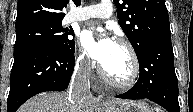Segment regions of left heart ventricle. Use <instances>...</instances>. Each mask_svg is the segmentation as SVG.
Wrapping results in <instances>:
<instances>
[{
    "instance_id": "left-heart-ventricle-1",
    "label": "left heart ventricle",
    "mask_w": 193,
    "mask_h": 112,
    "mask_svg": "<svg viewBox=\"0 0 193 112\" xmlns=\"http://www.w3.org/2000/svg\"><path fill=\"white\" fill-rule=\"evenodd\" d=\"M102 67L111 78L118 81L126 80L131 72V61L127 50L116 43L109 59Z\"/></svg>"
}]
</instances>
